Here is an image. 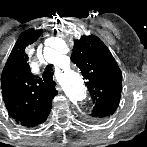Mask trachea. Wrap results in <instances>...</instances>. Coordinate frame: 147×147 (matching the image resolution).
Masks as SVG:
<instances>
[{
  "mask_svg": "<svg viewBox=\"0 0 147 147\" xmlns=\"http://www.w3.org/2000/svg\"><path fill=\"white\" fill-rule=\"evenodd\" d=\"M52 71H53L52 68L49 67L43 72V80L46 83H52V81H53V72Z\"/></svg>",
  "mask_w": 147,
  "mask_h": 147,
  "instance_id": "1",
  "label": "trachea"
}]
</instances>
